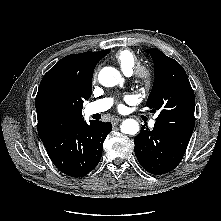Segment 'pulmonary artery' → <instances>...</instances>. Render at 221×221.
I'll list each match as a JSON object with an SVG mask.
<instances>
[{
  "instance_id": "obj_1",
  "label": "pulmonary artery",
  "mask_w": 221,
  "mask_h": 221,
  "mask_svg": "<svg viewBox=\"0 0 221 221\" xmlns=\"http://www.w3.org/2000/svg\"><path fill=\"white\" fill-rule=\"evenodd\" d=\"M112 105V99L111 98H103L97 101H94L92 103H90L87 107H86V112L87 114L91 115V114H96V113H101L104 112L106 110H108ZM156 120L152 119L149 122L150 127H153L155 124Z\"/></svg>"
}]
</instances>
